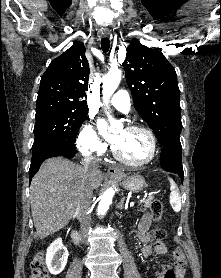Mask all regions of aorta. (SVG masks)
Listing matches in <instances>:
<instances>
[{
  "label": "aorta",
  "mask_w": 221,
  "mask_h": 278,
  "mask_svg": "<svg viewBox=\"0 0 221 278\" xmlns=\"http://www.w3.org/2000/svg\"><path fill=\"white\" fill-rule=\"evenodd\" d=\"M122 72L120 69H111L103 78L102 82V95L103 102L108 107L109 99L112 94L116 91L120 81ZM114 195L113 188H108L102 195L98 205V215L103 216L106 214L109 206L112 203Z\"/></svg>",
  "instance_id": "aorta-1"
}]
</instances>
